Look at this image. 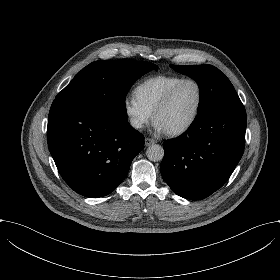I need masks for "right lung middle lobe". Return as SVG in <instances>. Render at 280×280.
Segmentation results:
<instances>
[{"instance_id": "1", "label": "right lung middle lobe", "mask_w": 280, "mask_h": 280, "mask_svg": "<svg viewBox=\"0 0 280 280\" xmlns=\"http://www.w3.org/2000/svg\"><path fill=\"white\" fill-rule=\"evenodd\" d=\"M151 70L157 71L158 66L140 61H95L83 68L54 102H75L127 119L125 97L133 83Z\"/></svg>"}]
</instances>
